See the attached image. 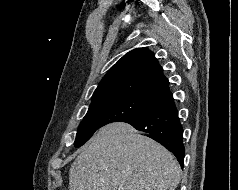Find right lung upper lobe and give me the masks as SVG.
<instances>
[{"label":"right lung upper lobe","instance_id":"right-lung-upper-lobe-1","mask_svg":"<svg viewBox=\"0 0 238 190\" xmlns=\"http://www.w3.org/2000/svg\"><path fill=\"white\" fill-rule=\"evenodd\" d=\"M169 93V81L154 54L147 48H137L106 73L92 100L125 95L155 104Z\"/></svg>","mask_w":238,"mask_h":190}]
</instances>
